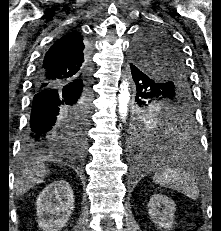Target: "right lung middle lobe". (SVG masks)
<instances>
[{"label": "right lung middle lobe", "mask_w": 221, "mask_h": 231, "mask_svg": "<svg viewBox=\"0 0 221 231\" xmlns=\"http://www.w3.org/2000/svg\"><path fill=\"white\" fill-rule=\"evenodd\" d=\"M90 104L81 105L75 111L66 114L65 121L68 132L80 143L86 144L89 123Z\"/></svg>", "instance_id": "obj_1"}]
</instances>
